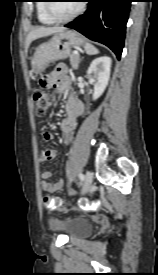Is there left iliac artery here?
Wrapping results in <instances>:
<instances>
[{
    "label": "left iliac artery",
    "instance_id": "obj_1",
    "mask_svg": "<svg viewBox=\"0 0 158 275\" xmlns=\"http://www.w3.org/2000/svg\"><path fill=\"white\" fill-rule=\"evenodd\" d=\"M79 178H80L81 181H83L84 180V175L80 173Z\"/></svg>",
    "mask_w": 158,
    "mask_h": 275
}]
</instances>
